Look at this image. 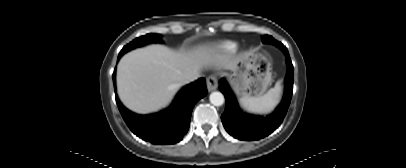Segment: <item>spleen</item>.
<instances>
[{"mask_svg": "<svg viewBox=\"0 0 406 168\" xmlns=\"http://www.w3.org/2000/svg\"><path fill=\"white\" fill-rule=\"evenodd\" d=\"M281 84L278 81L274 88L260 97H243L240 99L241 106L248 112L266 114L271 112L279 103Z\"/></svg>", "mask_w": 406, "mask_h": 168, "instance_id": "1", "label": "spleen"}]
</instances>
